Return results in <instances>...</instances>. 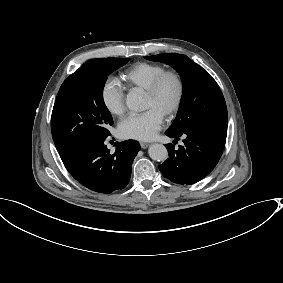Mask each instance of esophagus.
<instances>
[{
	"label": "esophagus",
	"instance_id": "1",
	"mask_svg": "<svg viewBox=\"0 0 283 283\" xmlns=\"http://www.w3.org/2000/svg\"><path fill=\"white\" fill-rule=\"evenodd\" d=\"M140 145H141V147L142 148H148L149 146H150V144L149 143H145V142H140Z\"/></svg>",
	"mask_w": 283,
	"mask_h": 283
}]
</instances>
